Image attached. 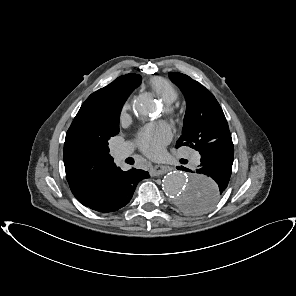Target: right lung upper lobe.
<instances>
[{
	"instance_id": "obj_1",
	"label": "right lung upper lobe",
	"mask_w": 296,
	"mask_h": 296,
	"mask_svg": "<svg viewBox=\"0 0 296 296\" xmlns=\"http://www.w3.org/2000/svg\"><path fill=\"white\" fill-rule=\"evenodd\" d=\"M140 83V75L127 74L94 92L68 129L64 165L68 184L78 201L84 200L100 182L120 169L109 154L108 140L114 136L119 107Z\"/></svg>"
}]
</instances>
